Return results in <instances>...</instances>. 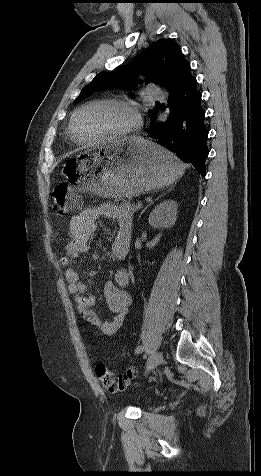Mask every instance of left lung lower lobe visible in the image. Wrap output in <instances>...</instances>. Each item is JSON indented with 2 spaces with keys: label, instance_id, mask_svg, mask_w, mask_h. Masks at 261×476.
Returning a JSON list of instances; mask_svg holds the SVG:
<instances>
[{
  "label": "left lung lower lobe",
  "instance_id": "1",
  "mask_svg": "<svg viewBox=\"0 0 261 476\" xmlns=\"http://www.w3.org/2000/svg\"><path fill=\"white\" fill-rule=\"evenodd\" d=\"M165 108L161 107L162 110ZM167 108L170 110L168 118L164 122L155 121L154 118L147 130L148 136L182 161L191 163L205 176L208 130L204 124L201 94L190 66L171 89Z\"/></svg>",
  "mask_w": 261,
  "mask_h": 476
}]
</instances>
